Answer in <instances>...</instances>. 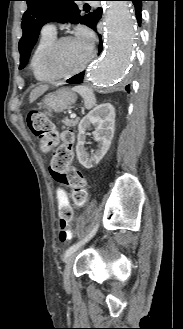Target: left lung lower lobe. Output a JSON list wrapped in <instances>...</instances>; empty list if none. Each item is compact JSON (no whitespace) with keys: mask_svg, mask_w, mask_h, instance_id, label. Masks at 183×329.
<instances>
[{"mask_svg":"<svg viewBox=\"0 0 183 329\" xmlns=\"http://www.w3.org/2000/svg\"><path fill=\"white\" fill-rule=\"evenodd\" d=\"M132 1L134 6H135V13H136V19L138 21L139 26L141 25V7H142V1L145 0H129ZM100 19V16L95 15V22L92 26V29L94 31H96V25H97V21ZM99 38H101V35L99 34ZM102 41H100V45H99V52L102 51ZM83 78H84V72H81L79 74H76L75 76L71 77L70 79L67 80V83L70 84H80L83 82ZM127 92H130V85H127L125 87Z\"/></svg>","mask_w":183,"mask_h":329,"instance_id":"0a47b994","label":"left lung lower lobe"}]
</instances>
